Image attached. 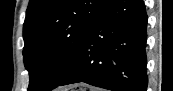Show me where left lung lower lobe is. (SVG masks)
<instances>
[{"label": "left lung lower lobe", "mask_w": 173, "mask_h": 91, "mask_svg": "<svg viewBox=\"0 0 173 91\" xmlns=\"http://www.w3.org/2000/svg\"><path fill=\"white\" fill-rule=\"evenodd\" d=\"M147 20L143 0H110L58 86L84 82L113 91H146Z\"/></svg>", "instance_id": "left-lung-lower-lobe-1"}]
</instances>
